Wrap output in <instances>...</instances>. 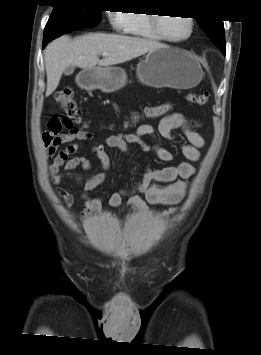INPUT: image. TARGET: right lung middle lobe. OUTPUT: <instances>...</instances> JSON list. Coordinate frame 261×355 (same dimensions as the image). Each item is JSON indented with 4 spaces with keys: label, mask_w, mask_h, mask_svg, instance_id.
Listing matches in <instances>:
<instances>
[{
    "label": "right lung middle lobe",
    "mask_w": 261,
    "mask_h": 355,
    "mask_svg": "<svg viewBox=\"0 0 261 355\" xmlns=\"http://www.w3.org/2000/svg\"><path fill=\"white\" fill-rule=\"evenodd\" d=\"M102 10L90 0H67L57 3L46 24L44 33L66 26L95 27L101 20Z\"/></svg>",
    "instance_id": "right-lung-middle-lobe-1"
}]
</instances>
